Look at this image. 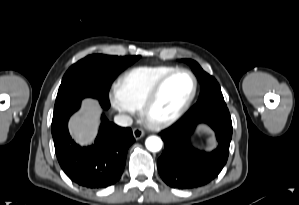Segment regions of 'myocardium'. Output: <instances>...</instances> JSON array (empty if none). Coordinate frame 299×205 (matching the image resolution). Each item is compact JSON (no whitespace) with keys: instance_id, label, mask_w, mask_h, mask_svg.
Here are the masks:
<instances>
[{"instance_id":"f54148a6","label":"myocardium","mask_w":299,"mask_h":205,"mask_svg":"<svg viewBox=\"0 0 299 205\" xmlns=\"http://www.w3.org/2000/svg\"><path fill=\"white\" fill-rule=\"evenodd\" d=\"M180 73H185L189 75L192 80V90L189 97L183 103V105L174 113L162 118H157V119L152 118L151 110L155 105L157 98L160 92L162 91L163 87L172 77ZM196 93H197V79L195 75L188 69L176 68L171 72L167 73L166 75H164L151 89V91L149 92L146 99L141 105L140 108L141 117L144 120V122L153 129H159V128L169 126L174 122H176L178 119H180L187 112V110L190 108L196 96Z\"/></svg>"}]
</instances>
